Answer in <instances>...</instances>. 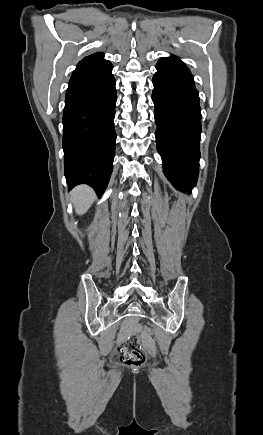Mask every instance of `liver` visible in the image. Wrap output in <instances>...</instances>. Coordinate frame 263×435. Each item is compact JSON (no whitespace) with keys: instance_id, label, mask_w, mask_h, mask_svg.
Returning <instances> with one entry per match:
<instances>
[{"instance_id":"1","label":"liver","mask_w":263,"mask_h":435,"mask_svg":"<svg viewBox=\"0 0 263 435\" xmlns=\"http://www.w3.org/2000/svg\"><path fill=\"white\" fill-rule=\"evenodd\" d=\"M71 195L76 213L79 215L84 214L90 208L95 199L93 190L86 185L77 186L71 192Z\"/></svg>"}]
</instances>
